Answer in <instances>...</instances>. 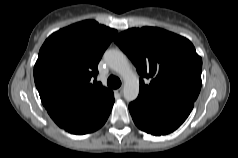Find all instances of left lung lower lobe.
Listing matches in <instances>:
<instances>
[{"label":"left lung lower lobe","mask_w":238,"mask_h":158,"mask_svg":"<svg viewBox=\"0 0 238 158\" xmlns=\"http://www.w3.org/2000/svg\"><path fill=\"white\" fill-rule=\"evenodd\" d=\"M193 106L192 100L151 105L136 99L129 104V111L134 123L141 130L152 135H166L186 120Z\"/></svg>","instance_id":"obj_1"}]
</instances>
